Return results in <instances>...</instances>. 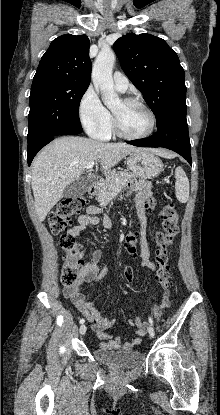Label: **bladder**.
<instances>
[{"mask_svg": "<svg viewBox=\"0 0 220 415\" xmlns=\"http://www.w3.org/2000/svg\"><path fill=\"white\" fill-rule=\"evenodd\" d=\"M93 355L101 363L121 369L134 368L144 360V354L141 351H115L102 346L96 347Z\"/></svg>", "mask_w": 220, "mask_h": 415, "instance_id": "obj_1", "label": "bladder"}]
</instances>
